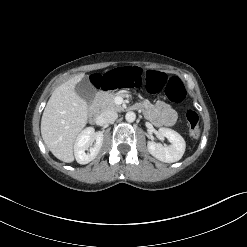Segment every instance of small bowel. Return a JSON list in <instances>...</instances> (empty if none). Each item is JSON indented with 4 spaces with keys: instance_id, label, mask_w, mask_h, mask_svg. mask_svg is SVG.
Returning a JSON list of instances; mask_svg holds the SVG:
<instances>
[{
    "instance_id": "small-bowel-1",
    "label": "small bowel",
    "mask_w": 247,
    "mask_h": 247,
    "mask_svg": "<svg viewBox=\"0 0 247 247\" xmlns=\"http://www.w3.org/2000/svg\"><path fill=\"white\" fill-rule=\"evenodd\" d=\"M151 121L157 126H172L176 121L175 110L163 101L155 105L141 106Z\"/></svg>"
}]
</instances>
